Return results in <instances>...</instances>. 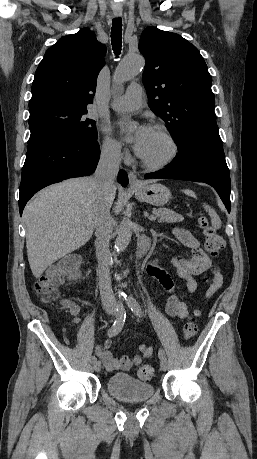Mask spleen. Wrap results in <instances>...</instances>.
Segmentation results:
<instances>
[{"mask_svg": "<svg viewBox=\"0 0 257 459\" xmlns=\"http://www.w3.org/2000/svg\"><path fill=\"white\" fill-rule=\"evenodd\" d=\"M184 193L189 195V196H191V197L196 198V194L192 190L186 189V190H184ZM203 207L208 212V214H209V216L211 218L212 227L214 229L221 228L222 223H221V220H220L218 214L216 213V211L213 208H211L209 205H206V204H204Z\"/></svg>", "mask_w": 257, "mask_h": 459, "instance_id": "obj_1", "label": "spleen"}]
</instances>
